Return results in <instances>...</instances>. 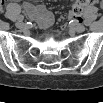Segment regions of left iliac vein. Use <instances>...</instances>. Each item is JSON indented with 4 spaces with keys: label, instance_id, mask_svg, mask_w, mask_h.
Instances as JSON below:
<instances>
[{
    "label": "left iliac vein",
    "instance_id": "1",
    "mask_svg": "<svg viewBox=\"0 0 103 103\" xmlns=\"http://www.w3.org/2000/svg\"><path fill=\"white\" fill-rule=\"evenodd\" d=\"M85 26L84 25H76L74 27V31L78 32V33H81V32H84L85 31Z\"/></svg>",
    "mask_w": 103,
    "mask_h": 103
}]
</instances>
